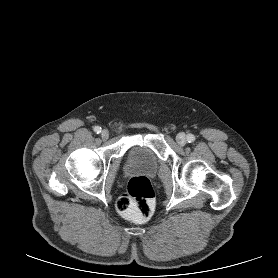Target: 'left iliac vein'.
Here are the masks:
<instances>
[{
  "label": "left iliac vein",
  "instance_id": "obj_1",
  "mask_svg": "<svg viewBox=\"0 0 278 278\" xmlns=\"http://www.w3.org/2000/svg\"><path fill=\"white\" fill-rule=\"evenodd\" d=\"M176 141L180 146H184L186 144V136L184 133H179L176 137Z\"/></svg>",
  "mask_w": 278,
  "mask_h": 278
}]
</instances>
